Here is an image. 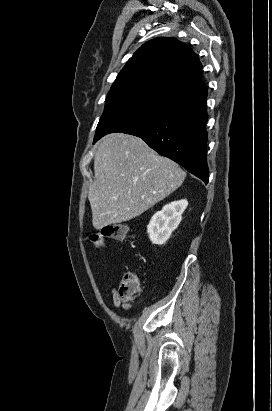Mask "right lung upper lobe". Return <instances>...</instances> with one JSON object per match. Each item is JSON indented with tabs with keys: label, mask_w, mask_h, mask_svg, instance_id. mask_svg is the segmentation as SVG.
I'll return each instance as SVG.
<instances>
[{
	"label": "right lung upper lobe",
	"mask_w": 272,
	"mask_h": 411,
	"mask_svg": "<svg viewBox=\"0 0 272 411\" xmlns=\"http://www.w3.org/2000/svg\"><path fill=\"white\" fill-rule=\"evenodd\" d=\"M202 65L184 43L169 37L146 42L118 74L110 92L143 90L184 106L205 98Z\"/></svg>",
	"instance_id": "cb5924a9"
}]
</instances>
